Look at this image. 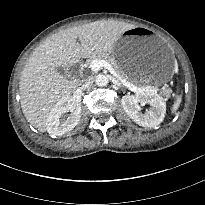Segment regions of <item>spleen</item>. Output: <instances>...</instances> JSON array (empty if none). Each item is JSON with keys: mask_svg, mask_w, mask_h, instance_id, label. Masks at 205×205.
<instances>
[{"mask_svg": "<svg viewBox=\"0 0 205 205\" xmlns=\"http://www.w3.org/2000/svg\"><path fill=\"white\" fill-rule=\"evenodd\" d=\"M181 103V96H177L176 101L174 102L173 106H172V113L176 112L177 109L179 108Z\"/></svg>", "mask_w": 205, "mask_h": 205, "instance_id": "1", "label": "spleen"}]
</instances>
